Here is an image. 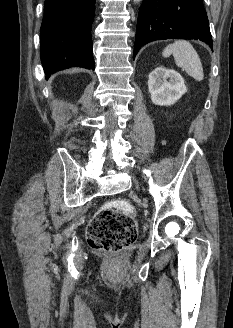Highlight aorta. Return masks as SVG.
<instances>
[{
    "mask_svg": "<svg viewBox=\"0 0 233 328\" xmlns=\"http://www.w3.org/2000/svg\"><path fill=\"white\" fill-rule=\"evenodd\" d=\"M139 1H141V0H134V2H139Z\"/></svg>",
    "mask_w": 233,
    "mask_h": 328,
    "instance_id": "762f6f07",
    "label": "aorta"
}]
</instances>
